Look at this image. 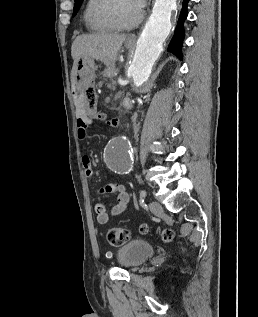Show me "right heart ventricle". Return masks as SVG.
Wrapping results in <instances>:
<instances>
[{
	"mask_svg": "<svg viewBox=\"0 0 258 317\" xmlns=\"http://www.w3.org/2000/svg\"><path fill=\"white\" fill-rule=\"evenodd\" d=\"M108 1L109 0H87L84 7L83 19L90 32L105 34L113 31L100 17V9Z\"/></svg>",
	"mask_w": 258,
	"mask_h": 317,
	"instance_id": "right-heart-ventricle-1",
	"label": "right heart ventricle"
}]
</instances>
